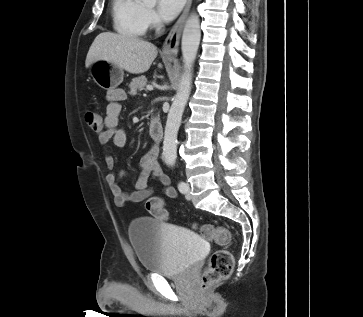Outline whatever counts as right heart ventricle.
Instances as JSON below:
<instances>
[{"label":"right heart ventricle","instance_id":"1","mask_svg":"<svg viewBox=\"0 0 363 317\" xmlns=\"http://www.w3.org/2000/svg\"><path fill=\"white\" fill-rule=\"evenodd\" d=\"M113 25L127 37H143L148 30L147 10L141 0H112Z\"/></svg>","mask_w":363,"mask_h":317}]
</instances>
